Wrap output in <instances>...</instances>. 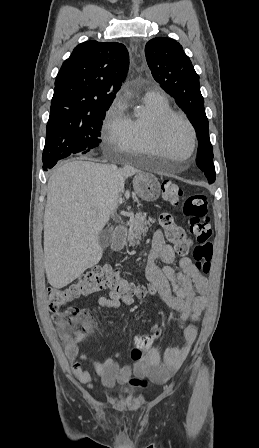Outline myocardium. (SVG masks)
<instances>
[{"instance_id":"1","label":"myocardium","mask_w":259,"mask_h":448,"mask_svg":"<svg viewBox=\"0 0 259 448\" xmlns=\"http://www.w3.org/2000/svg\"><path fill=\"white\" fill-rule=\"evenodd\" d=\"M174 120H180L188 127L190 134H191V155H190V161H195L197 152V132L193 125V123L190 121V119L183 113L172 111L169 113H166L164 115L159 116L154 123V131H153V141L155 144V147L157 149H166L164 144V132L167 126ZM147 154V153H146ZM156 171H162V170H156Z\"/></svg>"}]
</instances>
